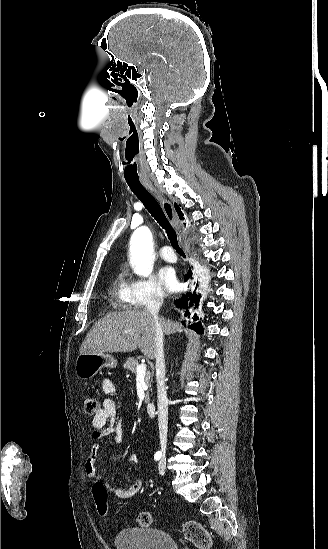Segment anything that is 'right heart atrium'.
<instances>
[{"instance_id": "right-heart-atrium-1", "label": "right heart atrium", "mask_w": 328, "mask_h": 549, "mask_svg": "<svg viewBox=\"0 0 328 549\" xmlns=\"http://www.w3.org/2000/svg\"><path fill=\"white\" fill-rule=\"evenodd\" d=\"M131 286L140 303H163L164 295L153 274L133 279Z\"/></svg>"}]
</instances>
